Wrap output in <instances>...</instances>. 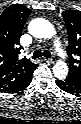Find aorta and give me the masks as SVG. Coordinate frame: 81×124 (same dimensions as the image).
I'll list each match as a JSON object with an SVG mask.
<instances>
[{
  "instance_id": "obj_1",
  "label": "aorta",
  "mask_w": 81,
  "mask_h": 124,
  "mask_svg": "<svg viewBox=\"0 0 81 124\" xmlns=\"http://www.w3.org/2000/svg\"><path fill=\"white\" fill-rule=\"evenodd\" d=\"M29 33L37 38H51L55 35L53 25L41 18L33 19L28 26ZM53 74L56 78L64 79L68 74V66L65 62H57L53 66Z\"/></svg>"
}]
</instances>
